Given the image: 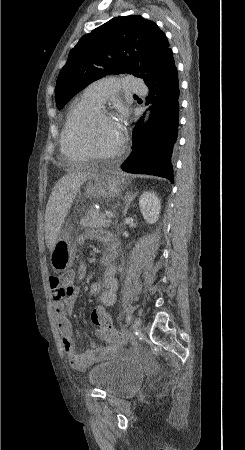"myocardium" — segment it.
<instances>
[{
  "label": "myocardium",
  "mask_w": 245,
  "mask_h": 450,
  "mask_svg": "<svg viewBox=\"0 0 245 450\" xmlns=\"http://www.w3.org/2000/svg\"><path fill=\"white\" fill-rule=\"evenodd\" d=\"M99 119H112V116L107 111L98 109L88 117L83 131V145L88 153L89 159L105 160L122 156L125 151L124 138H121L120 146L113 152L102 153L95 148L93 142V129L95 123Z\"/></svg>",
  "instance_id": "myocardium-1"
}]
</instances>
